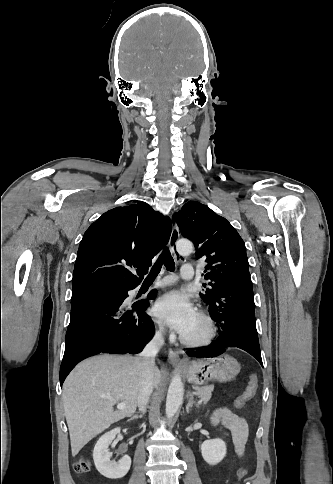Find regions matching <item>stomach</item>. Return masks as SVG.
I'll return each mask as SVG.
<instances>
[{
	"mask_svg": "<svg viewBox=\"0 0 333 484\" xmlns=\"http://www.w3.org/2000/svg\"><path fill=\"white\" fill-rule=\"evenodd\" d=\"M240 369L237 360L228 354L193 360L185 367L188 381L195 385H204L210 381H231Z\"/></svg>",
	"mask_w": 333,
	"mask_h": 484,
	"instance_id": "stomach-1",
	"label": "stomach"
}]
</instances>
